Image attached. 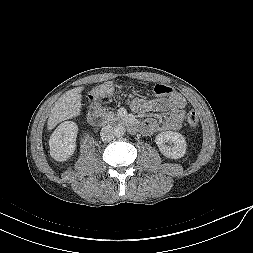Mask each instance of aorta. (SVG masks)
<instances>
[{
  "label": "aorta",
  "instance_id": "aorta-1",
  "mask_svg": "<svg viewBox=\"0 0 253 253\" xmlns=\"http://www.w3.org/2000/svg\"><path fill=\"white\" fill-rule=\"evenodd\" d=\"M113 128H114V135H115L116 137H121V136L124 135V133H125V128H124L123 125H120V124H119V125L114 126Z\"/></svg>",
  "mask_w": 253,
  "mask_h": 253
}]
</instances>
